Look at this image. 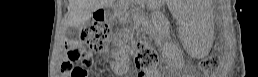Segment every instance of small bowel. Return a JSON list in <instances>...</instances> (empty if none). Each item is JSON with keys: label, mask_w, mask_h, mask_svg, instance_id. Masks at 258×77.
Returning a JSON list of instances; mask_svg holds the SVG:
<instances>
[{"label": "small bowel", "mask_w": 258, "mask_h": 77, "mask_svg": "<svg viewBox=\"0 0 258 77\" xmlns=\"http://www.w3.org/2000/svg\"><path fill=\"white\" fill-rule=\"evenodd\" d=\"M84 55H85V60L86 61H91L92 56H91L90 53L84 51ZM113 67H116V70H117V67H119V65L114 61L113 64H112V69H113Z\"/></svg>", "instance_id": "c3829d8e"}]
</instances>
